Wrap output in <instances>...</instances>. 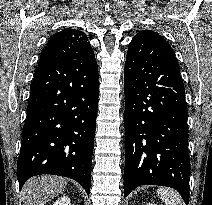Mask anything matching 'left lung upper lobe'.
Returning <instances> with one entry per match:
<instances>
[{
  "instance_id": "1",
  "label": "left lung upper lobe",
  "mask_w": 212,
  "mask_h": 205,
  "mask_svg": "<svg viewBox=\"0 0 212 205\" xmlns=\"http://www.w3.org/2000/svg\"><path fill=\"white\" fill-rule=\"evenodd\" d=\"M151 33H155V32H152L150 30L141 31L134 38H141V37H144V36L149 35Z\"/></svg>"
}]
</instances>
